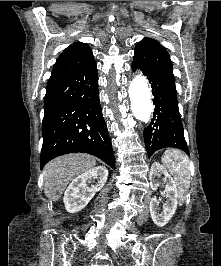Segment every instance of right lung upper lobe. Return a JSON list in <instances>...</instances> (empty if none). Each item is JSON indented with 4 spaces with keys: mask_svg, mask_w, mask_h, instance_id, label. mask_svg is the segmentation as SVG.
I'll list each match as a JSON object with an SVG mask.
<instances>
[{
    "mask_svg": "<svg viewBox=\"0 0 221 266\" xmlns=\"http://www.w3.org/2000/svg\"><path fill=\"white\" fill-rule=\"evenodd\" d=\"M93 60L92 50L86 43H73L64 49L62 54L58 57L50 79L77 70Z\"/></svg>",
    "mask_w": 221,
    "mask_h": 266,
    "instance_id": "obj_1",
    "label": "right lung upper lobe"
}]
</instances>
